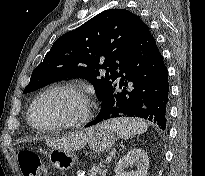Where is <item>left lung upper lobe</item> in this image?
<instances>
[{
  "label": "left lung upper lobe",
  "instance_id": "1",
  "mask_svg": "<svg viewBox=\"0 0 205 176\" xmlns=\"http://www.w3.org/2000/svg\"><path fill=\"white\" fill-rule=\"evenodd\" d=\"M146 24L125 9L101 12L79 28L59 37L33 71L24 93L65 78H84L100 98L112 89L126 55ZM100 69H105L101 76Z\"/></svg>",
  "mask_w": 205,
  "mask_h": 176
}]
</instances>
